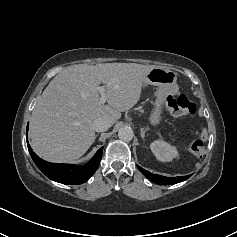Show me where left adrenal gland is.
<instances>
[{
  "label": "left adrenal gland",
  "mask_w": 237,
  "mask_h": 237,
  "mask_svg": "<svg viewBox=\"0 0 237 237\" xmlns=\"http://www.w3.org/2000/svg\"><path fill=\"white\" fill-rule=\"evenodd\" d=\"M140 130H141V137H142V139H144L145 132L147 131V129L141 128Z\"/></svg>",
  "instance_id": "a2214340"
}]
</instances>
